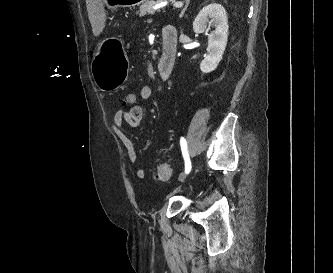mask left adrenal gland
<instances>
[{"label":"left adrenal gland","mask_w":333,"mask_h":273,"mask_svg":"<svg viewBox=\"0 0 333 273\" xmlns=\"http://www.w3.org/2000/svg\"><path fill=\"white\" fill-rule=\"evenodd\" d=\"M189 1H190V0H187L184 9L181 11V13H180V15H179L180 18H182V17L184 16V13H185V11L187 10V7H188V5H189Z\"/></svg>","instance_id":"1"}]
</instances>
